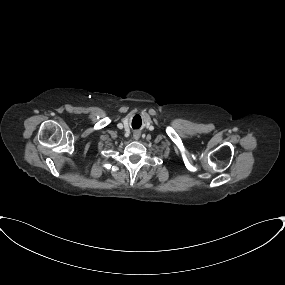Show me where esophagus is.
I'll return each instance as SVG.
<instances>
[{
    "label": "esophagus",
    "instance_id": "1",
    "mask_svg": "<svg viewBox=\"0 0 285 285\" xmlns=\"http://www.w3.org/2000/svg\"><path fill=\"white\" fill-rule=\"evenodd\" d=\"M139 137H140V134H138V133H134V134H133V138H134L135 140H138Z\"/></svg>",
    "mask_w": 285,
    "mask_h": 285
}]
</instances>
